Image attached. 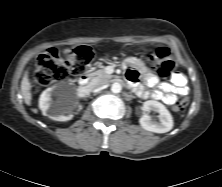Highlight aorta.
I'll list each match as a JSON object with an SVG mask.
<instances>
[{
	"instance_id": "aorta-1",
	"label": "aorta",
	"mask_w": 222,
	"mask_h": 187,
	"mask_svg": "<svg viewBox=\"0 0 222 187\" xmlns=\"http://www.w3.org/2000/svg\"><path fill=\"white\" fill-rule=\"evenodd\" d=\"M121 90H122V86H121L120 83L115 82V83L112 84V86H111V91H112L113 93H120Z\"/></svg>"
}]
</instances>
